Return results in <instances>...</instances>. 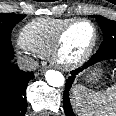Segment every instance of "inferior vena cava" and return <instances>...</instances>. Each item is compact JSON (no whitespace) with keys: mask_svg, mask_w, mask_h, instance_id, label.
I'll return each instance as SVG.
<instances>
[{"mask_svg":"<svg viewBox=\"0 0 116 116\" xmlns=\"http://www.w3.org/2000/svg\"><path fill=\"white\" fill-rule=\"evenodd\" d=\"M17 64L19 68L24 71H34L39 67V64L37 61L26 56L19 57L17 60Z\"/></svg>","mask_w":116,"mask_h":116,"instance_id":"obj_1","label":"inferior vena cava"}]
</instances>
